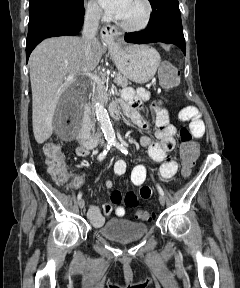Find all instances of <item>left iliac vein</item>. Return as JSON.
<instances>
[{
  "mask_svg": "<svg viewBox=\"0 0 240 288\" xmlns=\"http://www.w3.org/2000/svg\"><path fill=\"white\" fill-rule=\"evenodd\" d=\"M159 202H160V204L163 206L164 204H165V199H164V197L163 196H159Z\"/></svg>",
  "mask_w": 240,
  "mask_h": 288,
  "instance_id": "left-iliac-vein-1",
  "label": "left iliac vein"
}]
</instances>
